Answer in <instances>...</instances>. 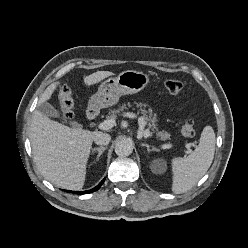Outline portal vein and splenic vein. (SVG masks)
<instances>
[{
	"instance_id": "18ae733b",
	"label": "portal vein and splenic vein",
	"mask_w": 248,
	"mask_h": 248,
	"mask_svg": "<svg viewBox=\"0 0 248 248\" xmlns=\"http://www.w3.org/2000/svg\"><path fill=\"white\" fill-rule=\"evenodd\" d=\"M124 116L126 117H129V118H134L135 117V114L133 113H126ZM116 124V121L115 119H108V120H105L103 122H101L99 125H98V128L101 129V130H109L111 129L112 127H114V125ZM143 121L140 122V129H141V132H140V135L141 136H144L145 138L149 137L150 136V131L148 129L143 130ZM172 145L171 144H165L162 146L163 149H166V148H170Z\"/></svg>"
}]
</instances>
